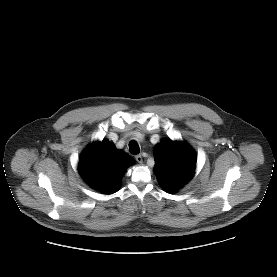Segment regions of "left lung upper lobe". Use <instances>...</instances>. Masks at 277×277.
<instances>
[{
    "label": "left lung upper lobe",
    "instance_id": "obj_1",
    "mask_svg": "<svg viewBox=\"0 0 277 277\" xmlns=\"http://www.w3.org/2000/svg\"><path fill=\"white\" fill-rule=\"evenodd\" d=\"M154 157V172L166 192H177L192 178L196 154L187 144L163 140L154 148Z\"/></svg>",
    "mask_w": 277,
    "mask_h": 277
}]
</instances>
